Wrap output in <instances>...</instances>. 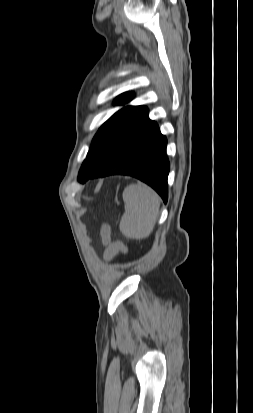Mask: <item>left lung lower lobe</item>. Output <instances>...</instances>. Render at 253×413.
<instances>
[{"mask_svg": "<svg viewBox=\"0 0 253 413\" xmlns=\"http://www.w3.org/2000/svg\"><path fill=\"white\" fill-rule=\"evenodd\" d=\"M120 128L122 135L110 158L82 182L112 174L130 175L153 187L166 203L170 169L166 137L148 118L147 109L137 118L122 122Z\"/></svg>", "mask_w": 253, "mask_h": 413, "instance_id": "1", "label": "left lung lower lobe"}]
</instances>
